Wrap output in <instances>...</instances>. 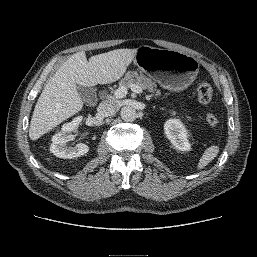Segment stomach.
I'll use <instances>...</instances> for the list:
<instances>
[{
    "instance_id": "0dacf381",
    "label": "stomach",
    "mask_w": 257,
    "mask_h": 257,
    "mask_svg": "<svg viewBox=\"0 0 257 257\" xmlns=\"http://www.w3.org/2000/svg\"><path fill=\"white\" fill-rule=\"evenodd\" d=\"M135 65L164 88L174 91L186 89L199 72L198 60L186 53L140 46L134 57Z\"/></svg>"
}]
</instances>
